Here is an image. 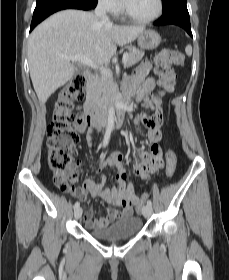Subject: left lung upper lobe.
Instances as JSON below:
<instances>
[{
	"instance_id": "left-lung-upper-lobe-1",
	"label": "left lung upper lobe",
	"mask_w": 229,
	"mask_h": 280,
	"mask_svg": "<svg viewBox=\"0 0 229 280\" xmlns=\"http://www.w3.org/2000/svg\"><path fill=\"white\" fill-rule=\"evenodd\" d=\"M164 1V7H163V10H167L169 9L170 7H172L174 5V3L178 0H163ZM182 1H186V0H182Z\"/></svg>"
}]
</instances>
